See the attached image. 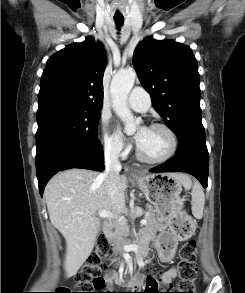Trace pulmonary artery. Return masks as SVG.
Returning a JSON list of instances; mask_svg holds the SVG:
<instances>
[{
	"mask_svg": "<svg viewBox=\"0 0 245 293\" xmlns=\"http://www.w3.org/2000/svg\"><path fill=\"white\" fill-rule=\"evenodd\" d=\"M128 105L138 112H145L151 105L149 93L142 87H135L128 97Z\"/></svg>",
	"mask_w": 245,
	"mask_h": 293,
	"instance_id": "1",
	"label": "pulmonary artery"
}]
</instances>
